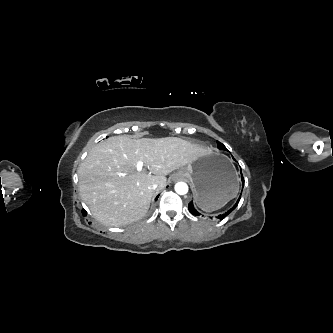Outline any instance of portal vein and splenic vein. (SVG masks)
<instances>
[{"mask_svg": "<svg viewBox=\"0 0 333 333\" xmlns=\"http://www.w3.org/2000/svg\"><path fill=\"white\" fill-rule=\"evenodd\" d=\"M143 166H144L143 162L142 161H138L137 164H136L137 171H142ZM119 175L123 176L124 174L123 173H119Z\"/></svg>", "mask_w": 333, "mask_h": 333, "instance_id": "18ae733b", "label": "portal vein and splenic vein"}]
</instances>
